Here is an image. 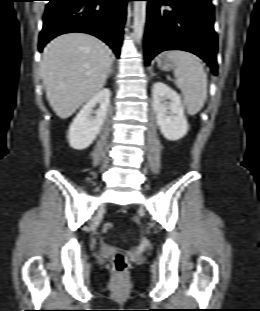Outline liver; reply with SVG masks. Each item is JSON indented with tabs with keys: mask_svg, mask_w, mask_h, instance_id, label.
Instances as JSON below:
<instances>
[{
	"mask_svg": "<svg viewBox=\"0 0 260 311\" xmlns=\"http://www.w3.org/2000/svg\"><path fill=\"white\" fill-rule=\"evenodd\" d=\"M110 49L98 38L68 33L45 48L40 74L56 115L70 117L103 87L112 65Z\"/></svg>",
	"mask_w": 260,
	"mask_h": 311,
	"instance_id": "liver-1",
	"label": "liver"
}]
</instances>
